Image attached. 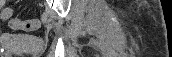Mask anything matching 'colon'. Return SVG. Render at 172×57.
<instances>
[{
    "label": "colon",
    "instance_id": "5ec220e1",
    "mask_svg": "<svg viewBox=\"0 0 172 57\" xmlns=\"http://www.w3.org/2000/svg\"><path fill=\"white\" fill-rule=\"evenodd\" d=\"M1 17L5 20H8L10 27L13 29L33 31L41 27V23L37 19L29 20V21H21L17 18H14L13 10L11 8H3L1 10Z\"/></svg>",
    "mask_w": 172,
    "mask_h": 57
}]
</instances>
